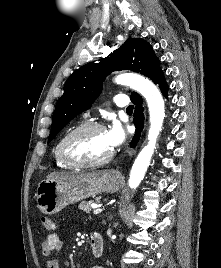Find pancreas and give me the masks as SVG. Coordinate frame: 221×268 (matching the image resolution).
Listing matches in <instances>:
<instances>
[{
	"mask_svg": "<svg viewBox=\"0 0 221 268\" xmlns=\"http://www.w3.org/2000/svg\"><path fill=\"white\" fill-rule=\"evenodd\" d=\"M96 201L98 202V199H96ZM91 203H93L92 200H90V201H82L79 204L78 207H79V209H81V210H83V211H85L87 213H90V211H91V207H90Z\"/></svg>",
	"mask_w": 221,
	"mask_h": 268,
	"instance_id": "pancreas-1",
	"label": "pancreas"
}]
</instances>
